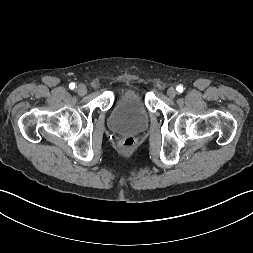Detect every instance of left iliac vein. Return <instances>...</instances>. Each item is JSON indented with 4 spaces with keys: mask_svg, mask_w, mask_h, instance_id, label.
<instances>
[{
    "mask_svg": "<svg viewBox=\"0 0 253 253\" xmlns=\"http://www.w3.org/2000/svg\"><path fill=\"white\" fill-rule=\"evenodd\" d=\"M177 92L175 90V88L173 87H170L168 90H167V96L169 98H174L176 96Z\"/></svg>",
    "mask_w": 253,
    "mask_h": 253,
    "instance_id": "left-iliac-vein-1",
    "label": "left iliac vein"
}]
</instances>
